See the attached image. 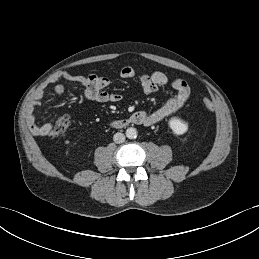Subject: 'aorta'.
Wrapping results in <instances>:
<instances>
[{"label":"aorta","mask_w":259,"mask_h":259,"mask_svg":"<svg viewBox=\"0 0 259 259\" xmlns=\"http://www.w3.org/2000/svg\"><path fill=\"white\" fill-rule=\"evenodd\" d=\"M126 136H127V138H129V139H134V138H136V137H137V130H136L135 128H132V127L128 128V129L126 130Z\"/></svg>","instance_id":"1"}]
</instances>
